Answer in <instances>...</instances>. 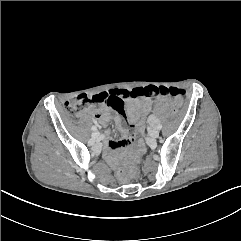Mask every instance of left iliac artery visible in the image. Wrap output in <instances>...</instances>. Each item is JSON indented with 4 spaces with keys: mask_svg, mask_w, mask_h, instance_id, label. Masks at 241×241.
I'll use <instances>...</instances> for the list:
<instances>
[{
    "mask_svg": "<svg viewBox=\"0 0 241 241\" xmlns=\"http://www.w3.org/2000/svg\"><path fill=\"white\" fill-rule=\"evenodd\" d=\"M157 129L161 130L162 129V125L161 124H157Z\"/></svg>",
    "mask_w": 241,
    "mask_h": 241,
    "instance_id": "obj_1",
    "label": "left iliac artery"
}]
</instances>
